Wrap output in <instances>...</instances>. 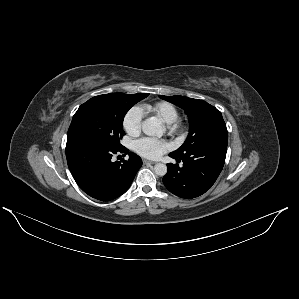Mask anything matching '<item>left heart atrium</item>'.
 Returning a JSON list of instances; mask_svg holds the SVG:
<instances>
[{"mask_svg":"<svg viewBox=\"0 0 299 299\" xmlns=\"http://www.w3.org/2000/svg\"><path fill=\"white\" fill-rule=\"evenodd\" d=\"M135 151L143 157L156 159L169 150V143L164 139L145 137L137 140Z\"/></svg>","mask_w":299,"mask_h":299,"instance_id":"obj_1","label":"left heart atrium"}]
</instances>
